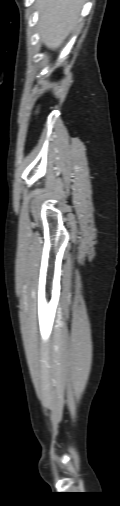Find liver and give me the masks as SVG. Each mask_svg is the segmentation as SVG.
<instances>
[{
    "instance_id": "6515ba94",
    "label": "liver",
    "mask_w": 120,
    "mask_h": 506,
    "mask_svg": "<svg viewBox=\"0 0 120 506\" xmlns=\"http://www.w3.org/2000/svg\"><path fill=\"white\" fill-rule=\"evenodd\" d=\"M84 0H37L40 10L41 39L57 49L76 28Z\"/></svg>"
}]
</instances>
